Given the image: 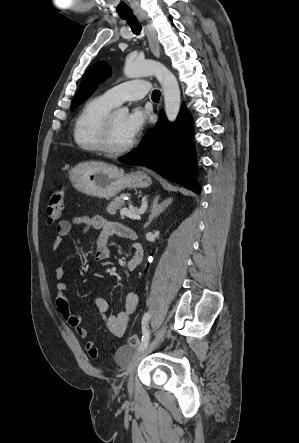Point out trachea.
I'll return each instance as SVG.
<instances>
[{"label":"trachea","mask_w":299,"mask_h":443,"mask_svg":"<svg viewBox=\"0 0 299 443\" xmlns=\"http://www.w3.org/2000/svg\"><path fill=\"white\" fill-rule=\"evenodd\" d=\"M121 17H122V19H125L127 21V23L129 24L132 32L135 35H139L141 33L142 26L139 23V21L136 18V16L132 12H124ZM152 99L155 100V101L160 99V91L159 90H154L152 92Z\"/></svg>","instance_id":"obj_1"}]
</instances>
